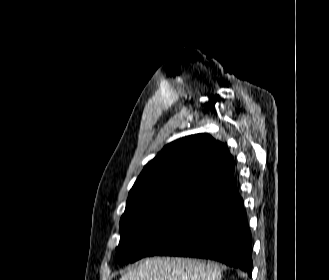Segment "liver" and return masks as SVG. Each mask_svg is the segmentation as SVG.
Segmentation results:
<instances>
[{"instance_id":"6515ba94","label":"liver","mask_w":329,"mask_h":280,"mask_svg":"<svg viewBox=\"0 0 329 280\" xmlns=\"http://www.w3.org/2000/svg\"><path fill=\"white\" fill-rule=\"evenodd\" d=\"M120 280H221L217 263L179 257H153L132 267Z\"/></svg>"}]
</instances>
